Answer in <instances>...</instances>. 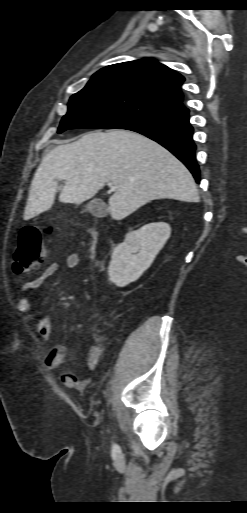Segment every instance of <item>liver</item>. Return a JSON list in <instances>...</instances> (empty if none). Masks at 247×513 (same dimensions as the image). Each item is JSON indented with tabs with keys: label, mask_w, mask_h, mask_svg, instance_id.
<instances>
[{
	"label": "liver",
	"mask_w": 247,
	"mask_h": 513,
	"mask_svg": "<svg viewBox=\"0 0 247 513\" xmlns=\"http://www.w3.org/2000/svg\"><path fill=\"white\" fill-rule=\"evenodd\" d=\"M58 181H65L63 203L80 204L106 184L114 220H122L155 199L199 202L189 170L166 148L129 130L93 131L55 147L43 157L32 180L24 220L51 208Z\"/></svg>",
	"instance_id": "6515ba94"
}]
</instances>
